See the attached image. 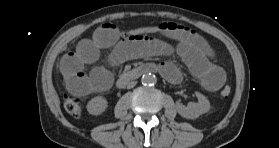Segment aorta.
Instances as JSON below:
<instances>
[{
  "label": "aorta",
  "instance_id": "762f6f07",
  "mask_svg": "<svg viewBox=\"0 0 279 148\" xmlns=\"http://www.w3.org/2000/svg\"><path fill=\"white\" fill-rule=\"evenodd\" d=\"M141 82L144 85H154L157 82V78L154 74L152 73H145L143 74L142 78H141Z\"/></svg>",
  "mask_w": 279,
  "mask_h": 148
}]
</instances>
